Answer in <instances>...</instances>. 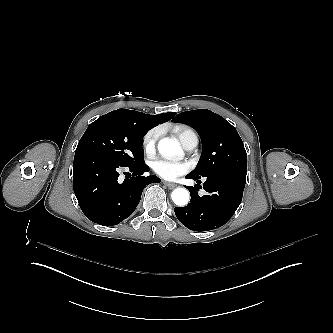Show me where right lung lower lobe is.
<instances>
[{
	"label": "right lung lower lobe",
	"mask_w": 333,
	"mask_h": 333,
	"mask_svg": "<svg viewBox=\"0 0 333 333\" xmlns=\"http://www.w3.org/2000/svg\"><path fill=\"white\" fill-rule=\"evenodd\" d=\"M119 167H128L130 176L120 183ZM149 171L144 163L120 165L91 149H76L73 164L74 193L86 217L103 226H113L128 218L137 207L144 187L160 182L157 176H142Z\"/></svg>",
	"instance_id": "right-lung-lower-lobe-1"
}]
</instances>
